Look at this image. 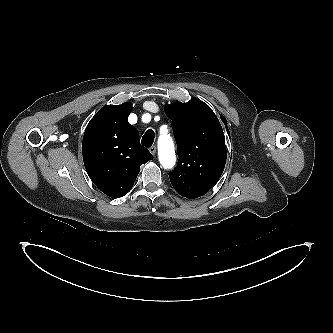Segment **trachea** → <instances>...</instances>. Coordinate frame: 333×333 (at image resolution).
Returning <instances> with one entry per match:
<instances>
[{"label":"trachea","mask_w":333,"mask_h":333,"mask_svg":"<svg viewBox=\"0 0 333 333\" xmlns=\"http://www.w3.org/2000/svg\"><path fill=\"white\" fill-rule=\"evenodd\" d=\"M154 138H155L154 131L149 129L146 131V133L142 137L141 143L146 147H150V146H152V144L154 142Z\"/></svg>","instance_id":"trachea-1"}]
</instances>
